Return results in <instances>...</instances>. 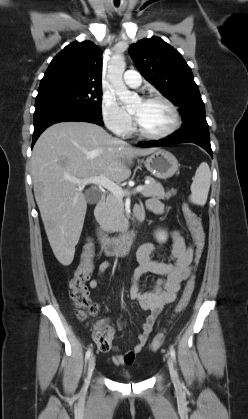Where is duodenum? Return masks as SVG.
Returning <instances> with one entry per match:
<instances>
[{
    "mask_svg": "<svg viewBox=\"0 0 248 419\" xmlns=\"http://www.w3.org/2000/svg\"><path fill=\"white\" fill-rule=\"evenodd\" d=\"M106 203V196L104 193L101 194L100 199L96 203L93 211V226L95 233L98 237V241L103 253L107 256H115L118 254L126 253L138 232L137 224L130 230L122 233L116 237L108 236L104 224L103 214ZM134 219L136 223H140L143 220L144 212L142 207H137L134 212Z\"/></svg>",
    "mask_w": 248,
    "mask_h": 419,
    "instance_id": "410a0bca",
    "label": "duodenum"
}]
</instances>
